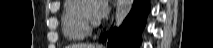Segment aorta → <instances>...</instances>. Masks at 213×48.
<instances>
[{
    "label": "aorta",
    "instance_id": "aorta-1",
    "mask_svg": "<svg viewBox=\"0 0 213 48\" xmlns=\"http://www.w3.org/2000/svg\"><path fill=\"white\" fill-rule=\"evenodd\" d=\"M133 0H117L115 26L119 27L132 9Z\"/></svg>",
    "mask_w": 213,
    "mask_h": 48
}]
</instances>
